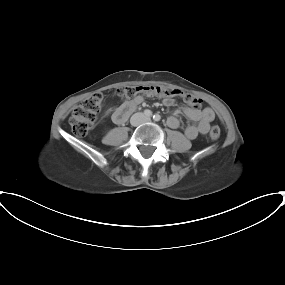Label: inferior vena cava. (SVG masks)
Returning a JSON list of instances; mask_svg holds the SVG:
<instances>
[{
	"instance_id": "1",
	"label": "inferior vena cava",
	"mask_w": 285,
	"mask_h": 285,
	"mask_svg": "<svg viewBox=\"0 0 285 285\" xmlns=\"http://www.w3.org/2000/svg\"><path fill=\"white\" fill-rule=\"evenodd\" d=\"M139 124V122H137V123H134V125H138Z\"/></svg>"
}]
</instances>
